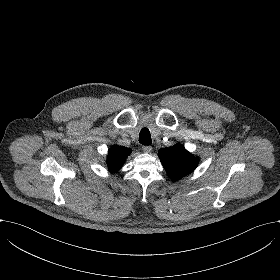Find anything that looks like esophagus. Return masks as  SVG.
<instances>
[{
  "label": "esophagus",
  "instance_id": "34e87169",
  "mask_svg": "<svg viewBox=\"0 0 280 280\" xmlns=\"http://www.w3.org/2000/svg\"><path fill=\"white\" fill-rule=\"evenodd\" d=\"M143 151L146 154H150L152 152V147L151 146H144Z\"/></svg>",
  "mask_w": 280,
  "mask_h": 280
}]
</instances>
